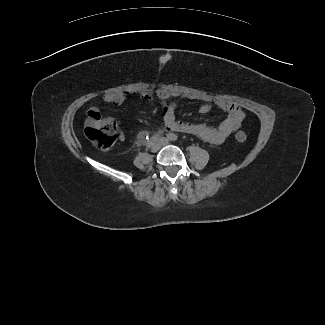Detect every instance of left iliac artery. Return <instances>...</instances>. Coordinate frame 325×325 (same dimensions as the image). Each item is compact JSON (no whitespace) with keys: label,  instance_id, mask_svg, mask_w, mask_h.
<instances>
[{"label":"left iliac artery","instance_id":"obj_1","mask_svg":"<svg viewBox=\"0 0 325 325\" xmlns=\"http://www.w3.org/2000/svg\"><path fill=\"white\" fill-rule=\"evenodd\" d=\"M167 138H168L169 140H171V141H175V140H177V135L174 134V133H169V134L167 135Z\"/></svg>","mask_w":325,"mask_h":325}]
</instances>
